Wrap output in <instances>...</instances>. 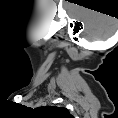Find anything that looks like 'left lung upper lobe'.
I'll return each instance as SVG.
<instances>
[{
    "label": "left lung upper lobe",
    "mask_w": 118,
    "mask_h": 118,
    "mask_svg": "<svg viewBox=\"0 0 118 118\" xmlns=\"http://www.w3.org/2000/svg\"><path fill=\"white\" fill-rule=\"evenodd\" d=\"M50 110L55 111L56 113H65V114H69L68 110L62 107H48Z\"/></svg>",
    "instance_id": "5c2ea615"
}]
</instances>
